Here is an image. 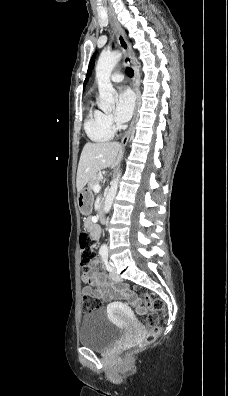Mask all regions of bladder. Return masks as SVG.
I'll return each mask as SVG.
<instances>
[{
	"instance_id": "bladder-1",
	"label": "bladder",
	"mask_w": 228,
	"mask_h": 396,
	"mask_svg": "<svg viewBox=\"0 0 228 396\" xmlns=\"http://www.w3.org/2000/svg\"><path fill=\"white\" fill-rule=\"evenodd\" d=\"M122 330L113 324L103 309H95L83 316L79 329V343L96 351H105L121 337Z\"/></svg>"
}]
</instances>
